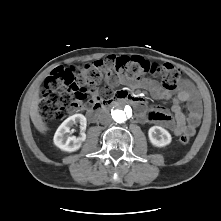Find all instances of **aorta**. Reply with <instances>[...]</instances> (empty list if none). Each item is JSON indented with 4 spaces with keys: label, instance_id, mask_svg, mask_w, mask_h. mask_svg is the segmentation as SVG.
Instances as JSON below:
<instances>
[{
    "label": "aorta",
    "instance_id": "1",
    "mask_svg": "<svg viewBox=\"0 0 221 221\" xmlns=\"http://www.w3.org/2000/svg\"><path fill=\"white\" fill-rule=\"evenodd\" d=\"M129 114H130V110H128V108L127 109L126 108L125 109L118 108V109H115L111 112L113 120L117 123H122V122L126 121Z\"/></svg>",
    "mask_w": 221,
    "mask_h": 221
}]
</instances>
